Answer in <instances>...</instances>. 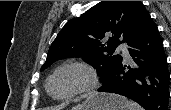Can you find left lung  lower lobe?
I'll use <instances>...</instances> for the list:
<instances>
[{
	"mask_svg": "<svg viewBox=\"0 0 171 110\" xmlns=\"http://www.w3.org/2000/svg\"><path fill=\"white\" fill-rule=\"evenodd\" d=\"M128 45L136 66L131 68L122 59L99 91L126 96L145 110H168L170 73L162 39L150 16Z\"/></svg>",
	"mask_w": 171,
	"mask_h": 110,
	"instance_id": "left-lung-lower-lobe-1",
	"label": "left lung lower lobe"
}]
</instances>
